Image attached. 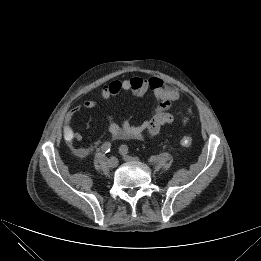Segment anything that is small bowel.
Segmentation results:
<instances>
[{
	"mask_svg": "<svg viewBox=\"0 0 261 261\" xmlns=\"http://www.w3.org/2000/svg\"><path fill=\"white\" fill-rule=\"evenodd\" d=\"M121 92H131L136 96H142L150 92L154 105L150 118L140 124H132L127 119H123L118 123L113 116L109 115L107 118L108 131L112 138L138 140L152 138L159 133L163 125L173 122V116L169 110L173 102L179 99L180 92L177 88L166 84L162 79L156 76L149 78L132 76L122 80H113L102 88L101 97L105 102H108ZM96 105L95 101L87 100L74 106L67 112L63 133L64 138L68 142L73 143L82 140V135L75 132L72 128L74 115L82 109H93ZM191 114V110H188L182 118L184 125L188 123ZM75 152L78 156L84 157L90 152V149L87 147H77L75 148Z\"/></svg>",
	"mask_w": 261,
	"mask_h": 261,
	"instance_id": "c3829d8e",
	"label": "small bowel"
}]
</instances>
